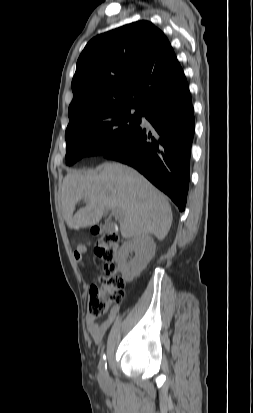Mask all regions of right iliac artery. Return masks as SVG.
<instances>
[{
	"label": "right iliac artery",
	"instance_id": "82829eb1",
	"mask_svg": "<svg viewBox=\"0 0 253 413\" xmlns=\"http://www.w3.org/2000/svg\"><path fill=\"white\" fill-rule=\"evenodd\" d=\"M99 370L101 374L106 375L107 374V362H106V355L105 353H102L101 359L99 362Z\"/></svg>",
	"mask_w": 253,
	"mask_h": 413
}]
</instances>
